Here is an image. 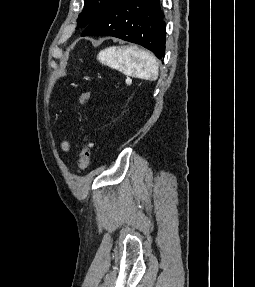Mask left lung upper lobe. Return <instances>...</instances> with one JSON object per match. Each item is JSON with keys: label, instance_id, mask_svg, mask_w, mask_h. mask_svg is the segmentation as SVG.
<instances>
[{"label": "left lung upper lobe", "instance_id": "obj_1", "mask_svg": "<svg viewBox=\"0 0 255 287\" xmlns=\"http://www.w3.org/2000/svg\"><path fill=\"white\" fill-rule=\"evenodd\" d=\"M113 0H84V9L78 17L79 27L87 26L97 17ZM78 29V27L76 28Z\"/></svg>", "mask_w": 255, "mask_h": 287}]
</instances>
